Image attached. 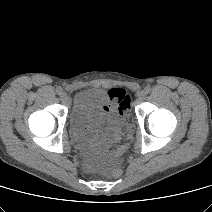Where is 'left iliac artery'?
Masks as SVG:
<instances>
[{"instance_id": "obj_1", "label": "left iliac artery", "mask_w": 212, "mask_h": 212, "mask_svg": "<svg viewBox=\"0 0 212 212\" xmlns=\"http://www.w3.org/2000/svg\"><path fill=\"white\" fill-rule=\"evenodd\" d=\"M145 92H146V94H148V93H150L151 92V88L149 87V86H147V87H145Z\"/></svg>"}]
</instances>
